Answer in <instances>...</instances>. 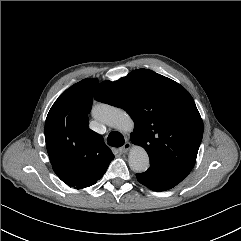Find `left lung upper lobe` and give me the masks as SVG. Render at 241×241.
Listing matches in <instances>:
<instances>
[{"instance_id":"obj_1","label":"left lung upper lobe","mask_w":241,"mask_h":241,"mask_svg":"<svg viewBox=\"0 0 241 241\" xmlns=\"http://www.w3.org/2000/svg\"><path fill=\"white\" fill-rule=\"evenodd\" d=\"M95 99L126 110L135 122L131 141L144 147L150 167L183 177L194 167L203 121L189 92L148 69L99 84Z\"/></svg>"}]
</instances>
